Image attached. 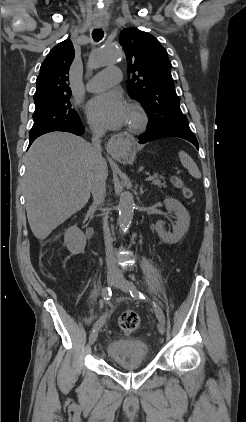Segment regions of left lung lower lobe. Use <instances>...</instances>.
Segmentation results:
<instances>
[{"mask_svg": "<svg viewBox=\"0 0 246 422\" xmlns=\"http://www.w3.org/2000/svg\"><path fill=\"white\" fill-rule=\"evenodd\" d=\"M164 137H179L191 142L198 149V142L189 126H167L148 129L139 136V143L144 144Z\"/></svg>", "mask_w": 246, "mask_h": 422, "instance_id": "0a47b994", "label": "left lung lower lobe"}]
</instances>
